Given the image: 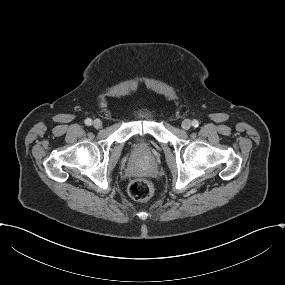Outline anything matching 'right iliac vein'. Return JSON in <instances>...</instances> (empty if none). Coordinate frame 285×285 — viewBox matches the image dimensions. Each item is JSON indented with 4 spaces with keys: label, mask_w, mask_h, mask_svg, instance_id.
<instances>
[{
    "label": "right iliac vein",
    "mask_w": 285,
    "mask_h": 285,
    "mask_svg": "<svg viewBox=\"0 0 285 285\" xmlns=\"http://www.w3.org/2000/svg\"><path fill=\"white\" fill-rule=\"evenodd\" d=\"M93 126H94V128H96V129H100V128L102 127V121L99 120V119H95V120L93 121Z\"/></svg>",
    "instance_id": "63e3f726"
}]
</instances>
